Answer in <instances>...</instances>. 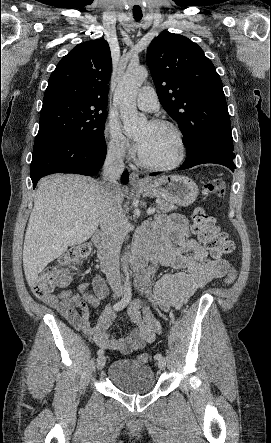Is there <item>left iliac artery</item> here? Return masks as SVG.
Masks as SVG:
<instances>
[{"mask_svg": "<svg viewBox=\"0 0 271 443\" xmlns=\"http://www.w3.org/2000/svg\"><path fill=\"white\" fill-rule=\"evenodd\" d=\"M155 360H159L162 358V354L158 353L154 356Z\"/></svg>", "mask_w": 271, "mask_h": 443, "instance_id": "left-iliac-artery-1", "label": "left iliac artery"}]
</instances>
